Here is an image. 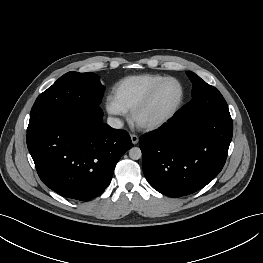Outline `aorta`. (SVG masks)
<instances>
[{
	"label": "aorta",
	"mask_w": 263,
	"mask_h": 263,
	"mask_svg": "<svg viewBox=\"0 0 263 263\" xmlns=\"http://www.w3.org/2000/svg\"><path fill=\"white\" fill-rule=\"evenodd\" d=\"M142 156V152L139 147H132L129 150V157L133 160H138Z\"/></svg>",
	"instance_id": "obj_1"
}]
</instances>
